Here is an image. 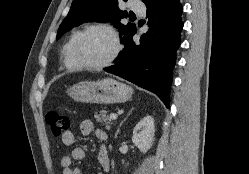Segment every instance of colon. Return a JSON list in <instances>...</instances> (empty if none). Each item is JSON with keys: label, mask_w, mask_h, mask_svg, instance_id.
<instances>
[{"label": "colon", "mask_w": 249, "mask_h": 174, "mask_svg": "<svg viewBox=\"0 0 249 174\" xmlns=\"http://www.w3.org/2000/svg\"><path fill=\"white\" fill-rule=\"evenodd\" d=\"M46 122L53 135L57 137L64 135L70 128L69 117L57 110H51L47 113Z\"/></svg>", "instance_id": "5ec220e1"}]
</instances>
